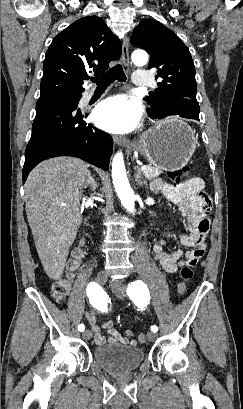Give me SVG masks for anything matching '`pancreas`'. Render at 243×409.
<instances>
[{
    "label": "pancreas",
    "instance_id": "cf45deb5",
    "mask_svg": "<svg viewBox=\"0 0 243 409\" xmlns=\"http://www.w3.org/2000/svg\"><path fill=\"white\" fill-rule=\"evenodd\" d=\"M161 173H162L161 169L153 167L151 165H148L147 170L144 171V176L147 179L152 180V179L158 177Z\"/></svg>",
    "mask_w": 243,
    "mask_h": 409
}]
</instances>
